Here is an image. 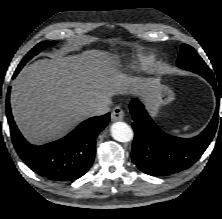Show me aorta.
<instances>
[{
	"instance_id": "aorta-1",
	"label": "aorta",
	"mask_w": 222,
	"mask_h": 219,
	"mask_svg": "<svg viewBox=\"0 0 222 219\" xmlns=\"http://www.w3.org/2000/svg\"><path fill=\"white\" fill-rule=\"evenodd\" d=\"M112 137L119 142H129L133 138V131L131 127L125 122H115L111 128Z\"/></svg>"
}]
</instances>
